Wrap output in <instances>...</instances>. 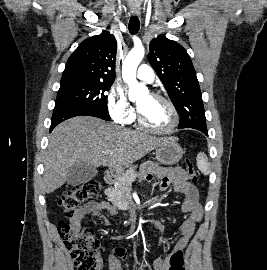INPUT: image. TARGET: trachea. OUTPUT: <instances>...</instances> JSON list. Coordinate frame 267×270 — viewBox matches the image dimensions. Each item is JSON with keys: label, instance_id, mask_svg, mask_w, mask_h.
Returning a JSON list of instances; mask_svg holds the SVG:
<instances>
[{"label": "trachea", "instance_id": "1", "mask_svg": "<svg viewBox=\"0 0 267 270\" xmlns=\"http://www.w3.org/2000/svg\"><path fill=\"white\" fill-rule=\"evenodd\" d=\"M128 28H129V32L132 35L136 34L139 31V29H140V21H139L138 17L132 16L130 18Z\"/></svg>", "mask_w": 267, "mask_h": 270}]
</instances>
